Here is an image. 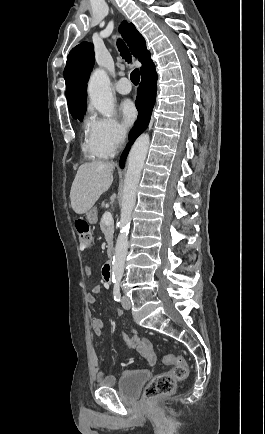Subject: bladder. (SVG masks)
<instances>
[{
  "mask_svg": "<svg viewBox=\"0 0 265 434\" xmlns=\"http://www.w3.org/2000/svg\"><path fill=\"white\" fill-rule=\"evenodd\" d=\"M149 376V371L145 369H130L122 372L117 387L119 396L126 399L137 398Z\"/></svg>",
  "mask_w": 265,
  "mask_h": 434,
  "instance_id": "obj_1",
  "label": "bladder"
}]
</instances>
